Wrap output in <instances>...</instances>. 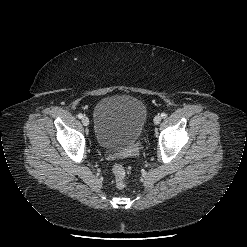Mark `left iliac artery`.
Returning <instances> with one entry per match:
<instances>
[{
  "instance_id": "44dca946",
  "label": "left iliac artery",
  "mask_w": 247,
  "mask_h": 247,
  "mask_svg": "<svg viewBox=\"0 0 247 247\" xmlns=\"http://www.w3.org/2000/svg\"><path fill=\"white\" fill-rule=\"evenodd\" d=\"M166 116H167V114H166V113H164V112H163V113H161V117H162V118H165Z\"/></svg>"
}]
</instances>
